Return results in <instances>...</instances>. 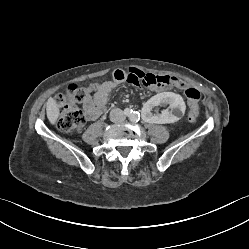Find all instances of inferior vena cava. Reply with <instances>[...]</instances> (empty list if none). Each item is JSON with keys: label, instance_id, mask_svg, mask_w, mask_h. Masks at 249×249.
I'll return each instance as SVG.
<instances>
[{"label": "inferior vena cava", "instance_id": "602c4592", "mask_svg": "<svg viewBox=\"0 0 249 249\" xmlns=\"http://www.w3.org/2000/svg\"><path fill=\"white\" fill-rule=\"evenodd\" d=\"M110 120L114 123L123 122L125 120L124 112L119 108H115V109L111 110Z\"/></svg>", "mask_w": 249, "mask_h": 249}]
</instances>
